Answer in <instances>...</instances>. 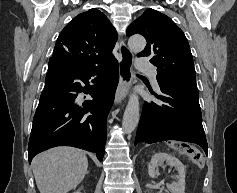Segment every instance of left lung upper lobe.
Here are the masks:
<instances>
[{
    "label": "left lung upper lobe",
    "instance_id": "5c2ea615",
    "mask_svg": "<svg viewBox=\"0 0 237 193\" xmlns=\"http://www.w3.org/2000/svg\"><path fill=\"white\" fill-rule=\"evenodd\" d=\"M128 36L139 33L146 40L138 56L150 57L157 67L159 85L197 87L196 72L189 43L182 30L166 15L147 9L126 31Z\"/></svg>",
    "mask_w": 237,
    "mask_h": 193
}]
</instances>
